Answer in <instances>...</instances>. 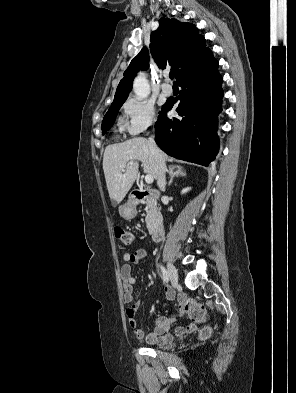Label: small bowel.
<instances>
[{
    "mask_svg": "<svg viewBox=\"0 0 296 393\" xmlns=\"http://www.w3.org/2000/svg\"><path fill=\"white\" fill-rule=\"evenodd\" d=\"M147 256V250L144 248L137 249L133 252H127L123 255L124 263L120 268V276L123 281V300L125 303L131 305L126 309V315L128 318L129 325L132 328L133 334L138 339H144L146 343L152 345H166L173 339V334L169 332L171 319L170 316H161L155 322L153 331L146 336L144 332L137 327V311L141 305L140 301H134L135 284L136 279L132 275V265L138 264ZM165 294L168 300H173L176 296L175 291L170 286H165ZM179 301V313L185 312L183 308V301L186 299L185 294H178ZM197 322L193 320L184 326H178L174 335L181 337L185 334L192 333L197 328Z\"/></svg>",
    "mask_w": 296,
    "mask_h": 393,
    "instance_id": "obj_1",
    "label": "small bowel"
}]
</instances>
